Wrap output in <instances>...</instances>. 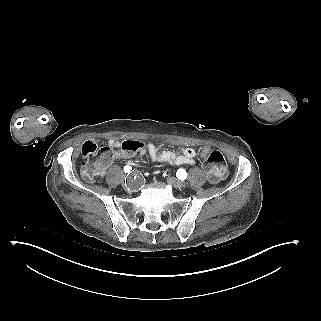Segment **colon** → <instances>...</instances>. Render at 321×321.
<instances>
[{
  "instance_id": "obj_1",
  "label": "colon",
  "mask_w": 321,
  "mask_h": 321,
  "mask_svg": "<svg viewBox=\"0 0 321 321\" xmlns=\"http://www.w3.org/2000/svg\"><path fill=\"white\" fill-rule=\"evenodd\" d=\"M121 149L128 153L134 154L144 149V144L138 140H126L121 144ZM200 156L204 159L203 166L207 178L212 183L223 180L227 174V164L224 155L210 146H202ZM85 161L82 164V175L91 179L100 168L105 159V155L101 151L88 149L83 152Z\"/></svg>"
}]
</instances>
